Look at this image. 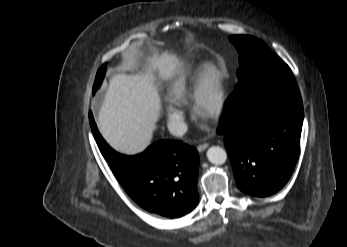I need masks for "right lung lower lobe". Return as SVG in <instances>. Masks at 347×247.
<instances>
[{
  "mask_svg": "<svg viewBox=\"0 0 347 247\" xmlns=\"http://www.w3.org/2000/svg\"><path fill=\"white\" fill-rule=\"evenodd\" d=\"M99 78L98 74L96 80ZM89 121L101 154L118 182L139 206L168 218L181 217L196 206L199 156L194 147L181 141L163 140L141 154L126 156L105 142L92 112H89Z\"/></svg>",
  "mask_w": 347,
  "mask_h": 247,
  "instance_id": "1",
  "label": "right lung lower lobe"
}]
</instances>
